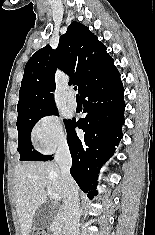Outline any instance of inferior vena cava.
I'll return each instance as SVG.
<instances>
[{
  "label": "inferior vena cava",
  "instance_id": "inferior-vena-cava-1",
  "mask_svg": "<svg viewBox=\"0 0 155 235\" xmlns=\"http://www.w3.org/2000/svg\"><path fill=\"white\" fill-rule=\"evenodd\" d=\"M55 161L60 167L64 188V234L79 235V197L77 185L70 174L72 158L66 143L61 144L56 152Z\"/></svg>",
  "mask_w": 155,
  "mask_h": 235
}]
</instances>
